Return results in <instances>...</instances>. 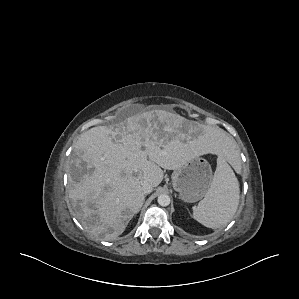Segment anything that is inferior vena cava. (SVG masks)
<instances>
[{"label": "inferior vena cava", "instance_id": "602c4592", "mask_svg": "<svg viewBox=\"0 0 299 299\" xmlns=\"http://www.w3.org/2000/svg\"><path fill=\"white\" fill-rule=\"evenodd\" d=\"M141 186L144 194H149L152 192L153 187L148 181H142Z\"/></svg>", "mask_w": 299, "mask_h": 299}]
</instances>
